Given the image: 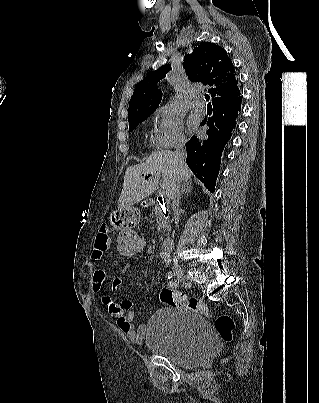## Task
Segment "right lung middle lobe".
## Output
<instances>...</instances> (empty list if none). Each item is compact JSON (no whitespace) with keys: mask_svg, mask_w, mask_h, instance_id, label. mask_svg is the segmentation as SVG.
<instances>
[{"mask_svg":"<svg viewBox=\"0 0 319 403\" xmlns=\"http://www.w3.org/2000/svg\"><path fill=\"white\" fill-rule=\"evenodd\" d=\"M152 113H153V112H151V113H149V114H147V115H145V116H143V117H141V118H138V119H136V120L130 121V122H129V131H131L132 129H134L139 123H141L142 121H144V120H145L148 116H150Z\"/></svg>","mask_w":319,"mask_h":403,"instance_id":"obj_1","label":"right lung middle lobe"}]
</instances>
